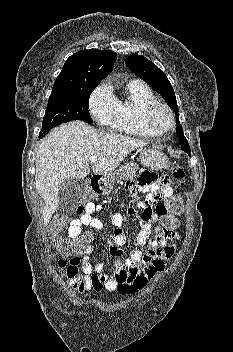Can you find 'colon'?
Returning <instances> with one entry per match:
<instances>
[{
    "label": "colon",
    "mask_w": 233,
    "mask_h": 352,
    "mask_svg": "<svg viewBox=\"0 0 233 352\" xmlns=\"http://www.w3.org/2000/svg\"><path fill=\"white\" fill-rule=\"evenodd\" d=\"M173 176L180 185L184 184L185 171L180 165L173 168ZM89 198V194L84 195V199ZM156 210L161 216L159 230L163 232L171 231L178 226L177 216L182 213L183 203L180 196L171 197L166 204H158ZM79 209L78 212H81ZM66 220L61 218L53 221L49 226V234L53 248L64 257H76L81 254L85 248V240H72L64 237L62 231ZM60 269H64L61 265ZM104 277L94 273L91 276V283L95 291H101L103 288Z\"/></svg>",
    "instance_id": "5ec220e1"
}]
</instances>
